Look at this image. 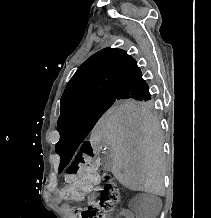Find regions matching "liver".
Wrapping results in <instances>:
<instances>
[{"label": "liver", "mask_w": 211, "mask_h": 218, "mask_svg": "<svg viewBox=\"0 0 211 218\" xmlns=\"http://www.w3.org/2000/svg\"><path fill=\"white\" fill-rule=\"evenodd\" d=\"M89 142L112 152L117 180L137 192L163 196L165 174L160 126L146 108L112 106L95 126Z\"/></svg>", "instance_id": "obj_1"}]
</instances>
